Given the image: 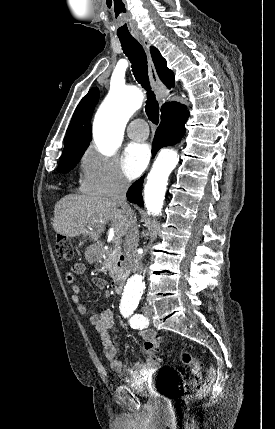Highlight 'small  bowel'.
I'll use <instances>...</instances> for the list:
<instances>
[{"label": "small bowel", "instance_id": "c3829d8e", "mask_svg": "<svg viewBox=\"0 0 275 429\" xmlns=\"http://www.w3.org/2000/svg\"><path fill=\"white\" fill-rule=\"evenodd\" d=\"M84 272L85 265L83 263H76L72 266V272L66 277L67 282L72 284V302L80 314L87 313V306L80 296V286L74 282L75 275L82 274ZM94 282L99 287L105 286V281L103 279H95ZM89 322L100 334L104 355L108 359L113 371L121 374L125 379L130 380V378L142 377L158 368V362L152 358H149L144 362H137L134 366L129 367L124 360L117 357V346L112 339L114 333V317L110 309L104 308L98 312L90 314ZM140 336L144 341V345L149 341L159 339L158 335L153 330L149 329L141 330Z\"/></svg>", "mask_w": 275, "mask_h": 429}]
</instances>
